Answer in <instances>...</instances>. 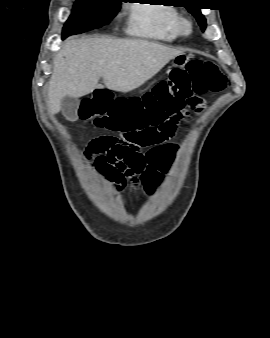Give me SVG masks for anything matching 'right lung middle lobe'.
<instances>
[{"label": "right lung middle lobe", "instance_id": "right-lung-middle-lobe-1", "mask_svg": "<svg viewBox=\"0 0 270 338\" xmlns=\"http://www.w3.org/2000/svg\"><path fill=\"white\" fill-rule=\"evenodd\" d=\"M122 0H76L63 27V38L108 24L120 9Z\"/></svg>", "mask_w": 270, "mask_h": 338}]
</instances>
